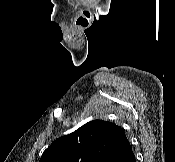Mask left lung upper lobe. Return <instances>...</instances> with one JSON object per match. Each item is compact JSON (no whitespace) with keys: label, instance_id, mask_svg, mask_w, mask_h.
<instances>
[{"label":"left lung upper lobe","instance_id":"1","mask_svg":"<svg viewBox=\"0 0 175 162\" xmlns=\"http://www.w3.org/2000/svg\"><path fill=\"white\" fill-rule=\"evenodd\" d=\"M125 138V132L114 123L93 120L56 139L39 162H106Z\"/></svg>","mask_w":175,"mask_h":162}]
</instances>
